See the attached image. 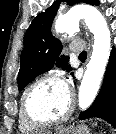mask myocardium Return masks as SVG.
Wrapping results in <instances>:
<instances>
[{"label": "myocardium", "mask_w": 116, "mask_h": 134, "mask_svg": "<svg viewBox=\"0 0 116 134\" xmlns=\"http://www.w3.org/2000/svg\"><path fill=\"white\" fill-rule=\"evenodd\" d=\"M46 81H56V82H60L64 85H66L64 80L59 75L46 74V75L38 78L36 81H34L26 89V91L23 94L22 99H21L20 109H21L22 115L24 116V118L26 119L27 122H29L30 124H32L36 127H46V126H51V125L59 124V123L66 121L72 114V112L74 110V106H75L74 96L72 93L69 92V97H70L69 106H68L67 110L65 111V113H63L61 116L56 117V118H49V119H38V118L34 117L28 109V99H29L32 91L37 86H39L40 84H42Z\"/></svg>", "instance_id": "1"}]
</instances>
